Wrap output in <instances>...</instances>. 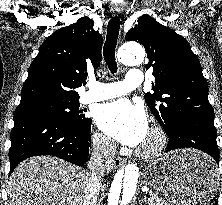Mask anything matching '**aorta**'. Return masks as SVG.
Returning <instances> with one entry per match:
<instances>
[{
    "label": "aorta",
    "instance_id": "762f6f07",
    "mask_svg": "<svg viewBox=\"0 0 222 205\" xmlns=\"http://www.w3.org/2000/svg\"><path fill=\"white\" fill-rule=\"evenodd\" d=\"M145 56L143 47L137 43H129L124 46L119 57L126 66L140 64ZM140 179V169L135 163L128 164L120 169L111 184L107 205H127L137 192Z\"/></svg>",
    "mask_w": 222,
    "mask_h": 205
}]
</instances>
